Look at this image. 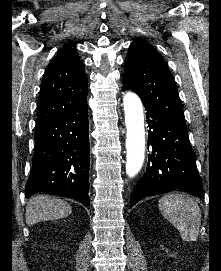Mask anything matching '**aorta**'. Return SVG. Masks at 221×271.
Segmentation results:
<instances>
[{
  "label": "aorta",
  "instance_id": "762f6f07",
  "mask_svg": "<svg viewBox=\"0 0 221 271\" xmlns=\"http://www.w3.org/2000/svg\"><path fill=\"white\" fill-rule=\"evenodd\" d=\"M126 125V174L134 177L145 158V128L143 105L137 94L127 92L123 97Z\"/></svg>",
  "mask_w": 221,
  "mask_h": 271
}]
</instances>
